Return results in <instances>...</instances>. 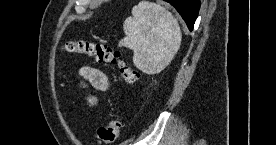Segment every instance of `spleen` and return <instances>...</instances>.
I'll use <instances>...</instances> for the list:
<instances>
[{
  "label": "spleen",
  "instance_id": "1",
  "mask_svg": "<svg viewBox=\"0 0 276 145\" xmlns=\"http://www.w3.org/2000/svg\"><path fill=\"white\" fill-rule=\"evenodd\" d=\"M119 46L131 49L134 65L146 74L163 71L180 49L182 34L177 19L164 7L141 1L123 24Z\"/></svg>",
  "mask_w": 276,
  "mask_h": 145
}]
</instances>
